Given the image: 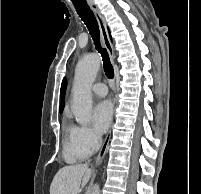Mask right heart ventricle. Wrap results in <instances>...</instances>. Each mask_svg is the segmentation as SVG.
<instances>
[{
    "label": "right heart ventricle",
    "instance_id": "e07e8e85",
    "mask_svg": "<svg viewBox=\"0 0 201 194\" xmlns=\"http://www.w3.org/2000/svg\"><path fill=\"white\" fill-rule=\"evenodd\" d=\"M71 128H72V126H67L65 129V133H66L65 145H66V150H67V159L71 162H74L77 160H82L85 157L73 152L70 148V131H71Z\"/></svg>",
    "mask_w": 201,
    "mask_h": 194
}]
</instances>
